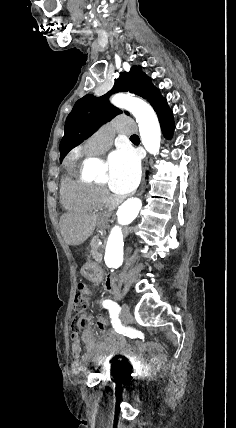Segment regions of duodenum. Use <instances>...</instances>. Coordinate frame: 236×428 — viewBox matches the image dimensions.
Segmentation results:
<instances>
[{
  "instance_id": "duodenum-1",
  "label": "duodenum",
  "mask_w": 236,
  "mask_h": 428,
  "mask_svg": "<svg viewBox=\"0 0 236 428\" xmlns=\"http://www.w3.org/2000/svg\"><path fill=\"white\" fill-rule=\"evenodd\" d=\"M116 276L114 275V274H110V275H108V277H107V281L109 282V283H116Z\"/></svg>"
}]
</instances>
